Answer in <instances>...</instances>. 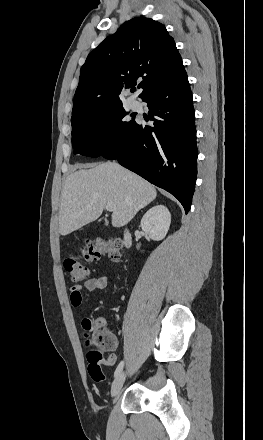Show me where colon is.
Returning <instances> with one entry per match:
<instances>
[{"mask_svg":"<svg viewBox=\"0 0 263 440\" xmlns=\"http://www.w3.org/2000/svg\"><path fill=\"white\" fill-rule=\"evenodd\" d=\"M122 241L114 239L111 241H87L79 249V252L68 257L64 262V268L73 282H80L88 277L89 269L87 264L99 260L102 256L108 257L115 263L122 260ZM84 335L86 337L88 371L95 381H103L104 373L101 364L104 360L103 349L111 341V336L95 325V319H84ZM114 357L109 356L107 363L112 365Z\"/></svg>","mask_w":263,"mask_h":440,"instance_id":"colon-1","label":"colon"}]
</instances>
